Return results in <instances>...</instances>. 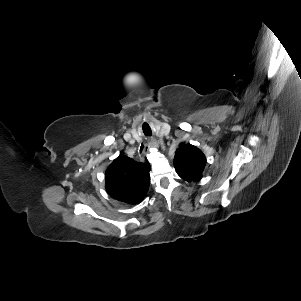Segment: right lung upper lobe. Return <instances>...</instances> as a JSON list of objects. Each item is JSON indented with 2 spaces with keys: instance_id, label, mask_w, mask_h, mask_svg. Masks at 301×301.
<instances>
[{
  "instance_id": "1",
  "label": "right lung upper lobe",
  "mask_w": 301,
  "mask_h": 301,
  "mask_svg": "<svg viewBox=\"0 0 301 301\" xmlns=\"http://www.w3.org/2000/svg\"><path fill=\"white\" fill-rule=\"evenodd\" d=\"M149 171V163H139L121 154L106 170V190L118 201L138 204L147 194Z\"/></svg>"
}]
</instances>
